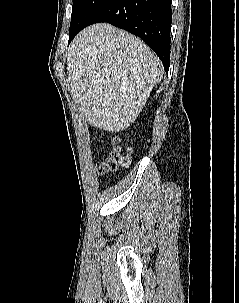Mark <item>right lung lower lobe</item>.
Returning <instances> with one entry per match:
<instances>
[{
  "label": "right lung lower lobe",
  "mask_w": 239,
  "mask_h": 303,
  "mask_svg": "<svg viewBox=\"0 0 239 303\" xmlns=\"http://www.w3.org/2000/svg\"><path fill=\"white\" fill-rule=\"evenodd\" d=\"M171 20V0H105L85 27L107 22L140 37L155 51L168 72Z\"/></svg>",
  "instance_id": "obj_1"
}]
</instances>
